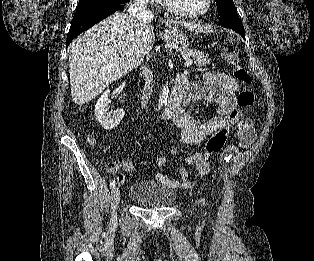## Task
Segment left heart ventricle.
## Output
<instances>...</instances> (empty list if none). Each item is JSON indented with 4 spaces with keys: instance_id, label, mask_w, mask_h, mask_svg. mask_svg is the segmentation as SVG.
<instances>
[{
    "instance_id": "obj_1",
    "label": "left heart ventricle",
    "mask_w": 314,
    "mask_h": 261,
    "mask_svg": "<svg viewBox=\"0 0 314 261\" xmlns=\"http://www.w3.org/2000/svg\"><path fill=\"white\" fill-rule=\"evenodd\" d=\"M175 6L189 12L202 10L206 5V0H170Z\"/></svg>"
}]
</instances>
